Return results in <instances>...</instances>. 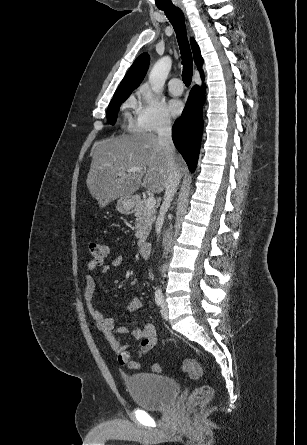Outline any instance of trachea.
<instances>
[{
  "instance_id": "3493384b",
  "label": "trachea",
  "mask_w": 307,
  "mask_h": 445,
  "mask_svg": "<svg viewBox=\"0 0 307 445\" xmlns=\"http://www.w3.org/2000/svg\"><path fill=\"white\" fill-rule=\"evenodd\" d=\"M160 10H163L165 12V15L172 23V26L174 27V30L176 32L180 47L182 65H183L182 80L188 87L192 80L193 63H192V55L189 47V42L187 40V33H186L185 19L183 12L182 10H180V8L175 6L162 8Z\"/></svg>"
}]
</instances>
